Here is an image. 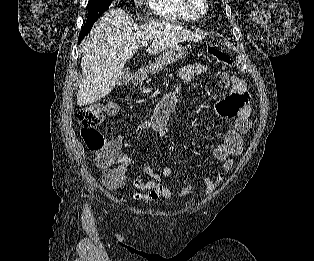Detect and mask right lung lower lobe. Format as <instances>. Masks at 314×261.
Segmentation results:
<instances>
[{
  "label": "right lung lower lobe",
  "instance_id": "obj_1",
  "mask_svg": "<svg viewBox=\"0 0 314 261\" xmlns=\"http://www.w3.org/2000/svg\"><path fill=\"white\" fill-rule=\"evenodd\" d=\"M93 24H94V23H93ZM93 24H91V25H85V26H84V28H83V29L81 30V32H80L78 43H80L81 40L84 38V36L89 33V31L91 30Z\"/></svg>",
  "mask_w": 314,
  "mask_h": 261
}]
</instances>
